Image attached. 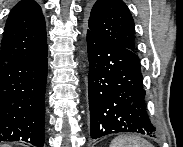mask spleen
I'll return each mask as SVG.
<instances>
[{
	"label": "spleen",
	"mask_w": 183,
	"mask_h": 147,
	"mask_svg": "<svg viewBox=\"0 0 183 147\" xmlns=\"http://www.w3.org/2000/svg\"><path fill=\"white\" fill-rule=\"evenodd\" d=\"M110 147H153V145L138 136L121 135L112 140Z\"/></svg>",
	"instance_id": "3e777b00"
}]
</instances>
